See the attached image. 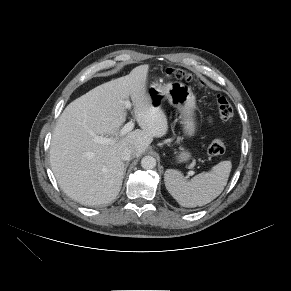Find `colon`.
<instances>
[{"label": "colon", "mask_w": 291, "mask_h": 291, "mask_svg": "<svg viewBox=\"0 0 291 291\" xmlns=\"http://www.w3.org/2000/svg\"><path fill=\"white\" fill-rule=\"evenodd\" d=\"M167 75L174 77L176 79L192 81V77L181 70L168 69L166 71ZM216 103L218 108V113L221 119L227 121L233 116V107L230 102L221 94L216 96ZM226 150L225 142L222 138L214 139L208 146V154L210 156H219L222 155Z\"/></svg>", "instance_id": "1"}]
</instances>
